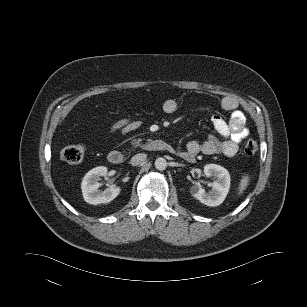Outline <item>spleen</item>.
Masks as SVG:
<instances>
[{
    "label": "spleen",
    "instance_id": "1",
    "mask_svg": "<svg viewBox=\"0 0 307 307\" xmlns=\"http://www.w3.org/2000/svg\"><path fill=\"white\" fill-rule=\"evenodd\" d=\"M249 183V176L244 175L240 181L239 188H238V193L241 194L247 187Z\"/></svg>",
    "mask_w": 307,
    "mask_h": 307
}]
</instances>
